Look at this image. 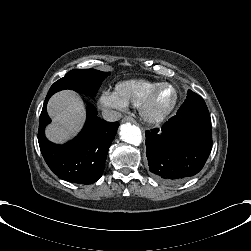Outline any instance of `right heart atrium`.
Listing matches in <instances>:
<instances>
[{"mask_svg": "<svg viewBox=\"0 0 251 251\" xmlns=\"http://www.w3.org/2000/svg\"><path fill=\"white\" fill-rule=\"evenodd\" d=\"M98 105L103 110L114 112L126 111L127 105L122 102L114 92L102 91L98 97Z\"/></svg>", "mask_w": 251, "mask_h": 251, "instance_id": "d8ad5b80", "label": "right heart atrium"}]
</instances>
